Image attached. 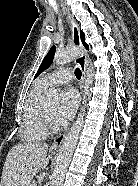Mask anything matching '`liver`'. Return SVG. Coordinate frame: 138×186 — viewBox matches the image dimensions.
<instances>
[{
    "label": "liver",
    "instance_id": "liver-1",
    "mask_svg": "<svg viewBox=\"0 0 138 186\" xmlns=\"http://www.w3.org/2000/svg\"><path fill=\"white\" fill-rule=\"evenodd\" d=\"M48 145L26 143L12 147L7 154L0 186H29L39 170L49 162Z\"/></svg>",
    "mask_w": 138,
    "mask_h": 186
}]
</instances>
